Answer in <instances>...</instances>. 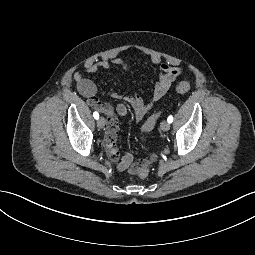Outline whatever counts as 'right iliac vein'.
<instances>
[{
	"instance_id": "right-iliac-vein-1",
	"label": "right iliac vein",
	"mask_w": 255,
	"mask_h": 255,
	"mask_svg": "<svg viewBox=\"0 0 255 255\" xmlns=\"http://www.w3.org/2000/svg\"><path fill=\"white\" fill-rule=\"evenodd\" d=\"M105 123H106V121H105V119H104L103 117H100V118L97 120V126H98L99 128H103V127L105 126Z\"/></svg>"
}]
</instances>
